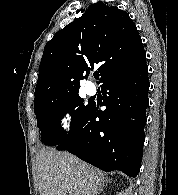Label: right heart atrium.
I'll list each match as a JSON object with an SVG mask.
<instances>
[{
	"instance_id": "1",
	"label": "right heart atrium",
	"mask_w": 178,
	"mask_h": 195,
	"mask_svg": "<svg viewBox=\"0 0 178 195\" xmlns=\"http://www.w3.org/2000/svg\"><path fill=\"white\" fill-rule=\"evenodd\" d=\"M74 123L73 110L66 109L61 113L60 126L63 130L68 131L72 128Z\"/></svg>"
}]
</instances>
